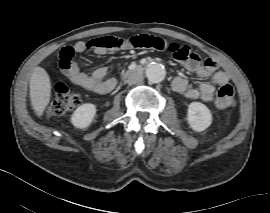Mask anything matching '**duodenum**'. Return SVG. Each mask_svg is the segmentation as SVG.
Returning a JSON list of instances; mask_svg holds the SVG:
<instances>
[{
  "label": "duodenum",
  "mask_w": 270,
  "mask_h": 213,
  "mask_svg": "<svg viewBox=\"0 0 270 213\" xmlns=\"http://www.w3.org/2000/svg\"><path fill=\"white\" fill-rule=\"evenodd\" d=\"M146 64H141V65H138L135 69H134V72L138 73V74H141L145 71L146 69Z\"/></svg>",
  "instance_id": "410a0bca"
}]
</instances>
